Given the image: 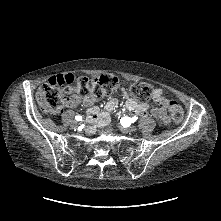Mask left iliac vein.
Instances as JSON below:
<instances>
[{
	"mask_svg": "<svg viewBox=\"0 0 221 221\" xmlns=\"http://www.w3.org/2000/svg\"><path fill=\"white\" fill-rule=\"evenodd\" d=\"M137 130V127L135 125H132L130 127H121V131L123 133H133Z\"/></svg>",
	"mask_w": 221,
	"mask_h": 221,
	"instance_id": "left-iliac-vein-1",
	"label": "left iliac vein"
}]
</instances>
